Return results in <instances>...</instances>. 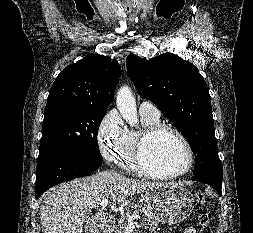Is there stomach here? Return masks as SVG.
Segmentation results:
<instances>
[{
    "label": "stomach",
    "instance_id": "stomach-1",
    "mask_svg": "<svg viewBox=\"0 0 253 233\" xmlns=\"http://www.w3.org/2000/svg\"><path fill=\"white\" fill-rule=\"evenodd\" d=\"M192 193L179 184H166L145 194L149 213L159 222L175 225L185 220L193 211Z\"/></svg>",
    "mask_w": 253,
    "mask_h": 233
}]
</instances>
